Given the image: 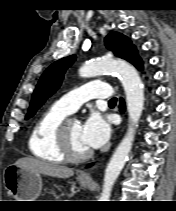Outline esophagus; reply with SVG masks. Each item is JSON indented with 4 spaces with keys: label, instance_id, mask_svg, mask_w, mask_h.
<instances>
[{
    "label": "esophagus",
    "instance_id": "34e87169",
    "mask_svg": "<svg viewBox=\"0 0 176 211\" xmlns=\"http://www.w3.org/2000/svg\"><path fill=\"white\" fill-rule=\"evenodd\" d=\"M80 178L84 179V180H90V173L88 171H84L80 174Z\"/></svg>",
    "mask_w": 176,
    "mask_h": 211
}]
</instances>
